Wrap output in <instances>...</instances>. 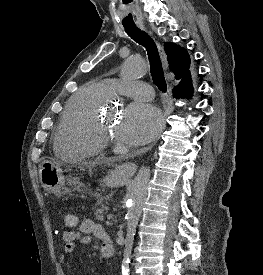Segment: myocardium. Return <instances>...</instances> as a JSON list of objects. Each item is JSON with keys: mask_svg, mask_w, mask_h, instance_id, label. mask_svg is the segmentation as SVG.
Returning <instances> with one entry per match:
<instances>
[{"mask_svg": "<svg viewBox=\"0 0 263 275\" xmlns=\"http://www.w3.org/2000/svg\"><path fill=\"white\" fill-rule=\"evenodd\" d=\"M85 136L100 149H104L116 142L114 134L109 133L105 128L104 120L100 112H98L88 124Z\"/></svg>", "mask_w": 263, "mask_h": 275, "instance_id": "myocardium-1", "label": "myocardium"}]
</instances>
